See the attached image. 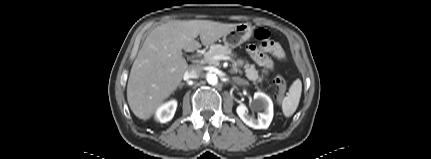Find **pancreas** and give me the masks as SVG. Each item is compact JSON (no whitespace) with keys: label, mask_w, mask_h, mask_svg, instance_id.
<instances>
[{"label":"pancreas","mask_w":431,"mask_h":159,"mask_svg":"<svg viewBox=\"0 0 431 159\" xmlns=\"http://www.w3.org/2000/svg\"><path fill=\"white\" fill-rule=\"evenodd\" d=\"M215 55H232V49L226 45L214 44L210 47V50L204 55V62L208 64L217 65L218 61L212 60ZM246 77L253 81L254 84L261 82L262 78L259 76L258 71L255 69L254 65L247 64L245 66Z\"/></svg>","instance_id":"cf45deb5"}]
</instances>
